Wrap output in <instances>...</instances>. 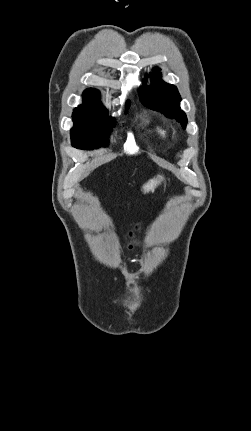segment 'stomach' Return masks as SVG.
<instances>
[{"label":"stomach","mask_w":251,"mask_h":431,"mask_svg":"<svg viewBox=\"0 0 251 431\" xmlns=\"http://www.w3.org/2000/svg\"><path fill=\"white\" fill-rule=\"evenodd\" d=\"M164 181V175L158 174L154 178L144 183L141 189L144 193L154 192V190Z\"/></svg>","instance_id":"obj_1"}]
</instances>
